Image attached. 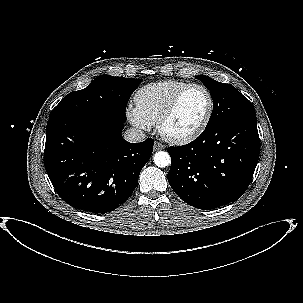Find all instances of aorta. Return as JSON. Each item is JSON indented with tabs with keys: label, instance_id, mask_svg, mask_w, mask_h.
Listing matches in <instances>:
<instances>
[{
	"label": "aorta",
	"instance_id": "1",
	"mask_svg": "<svg viewBox=\"0 0 303 303\" xmlns=\"http://www.w3.org/2000/svg\"><path fill=\"white\" fill-rule=\"evenodd\" d=\"M154 163L160 168H164L171 163V157L167 152L159 151L154 155Z\"/></svg>",
	"mask_w": 303,
	"mask_h": 303
}]
</instances>
